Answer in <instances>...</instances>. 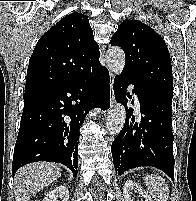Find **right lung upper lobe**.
Segmentation results:
<instances>
[{"label": "right lung upper lobe", "mask_w": 196, "mask_h": 201, "mask_svg": "<svg viewBox=\"0 0 196 201\" xmlns=\"http://www.w3.org/2000/svg\"><path fill=\"white\" fill-rule=\"evenodd\" d=\"M99 57L88 17L67 15L37 42L29 61L25 92L73 79L99 63Z\"/></svg>", "instance_id": "right-lung-upper-lobe-1"}]
</instances>
